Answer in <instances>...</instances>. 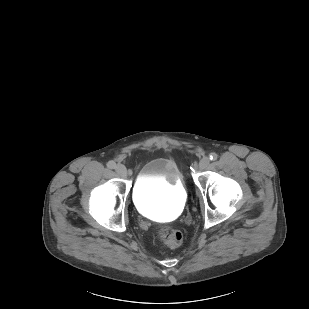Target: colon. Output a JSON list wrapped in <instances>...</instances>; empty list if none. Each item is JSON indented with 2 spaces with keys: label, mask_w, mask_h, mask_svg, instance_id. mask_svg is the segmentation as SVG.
<instances>
[{
  "label": "colon",
  "mask_w": 309,
  "mask_h": 309,
  "mask_svg": "<svg viewBox=\"0 0 309 309\" xmlns=\"http://www.w3.org/2000/svg\"><path fill=\"white\" fill-rule=\"evenodd\" d=\"M158 238L166 247L176 248L182 243L183 234L174 227L165 226L158 231Z\"/></svg>",
  "instance_id": "1"
}]
</instances>
